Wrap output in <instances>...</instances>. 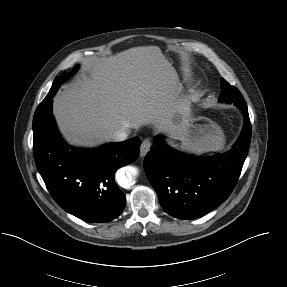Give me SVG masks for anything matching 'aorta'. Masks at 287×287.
Listing matches in <instances>:
<instances>
[{"mask_svg":"<svg viewBox=\"0 0 287 287\" xmlns=\"http://www.w3.org/2000/svg\"><path fill=\"white\" fill-rule=\"evenodd\" d=\"M133 171L127 172V176L123 173L118 175V181L124 188H129L134 183Z\"/></svg>","mask_w":287,"mask_h":287,"instance_id":"aorta-1","label":"aorta"}]
</instances>
